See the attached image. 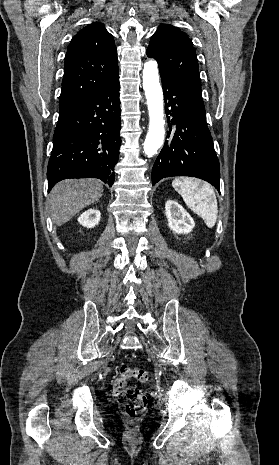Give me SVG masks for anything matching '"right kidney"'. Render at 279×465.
I'll use <instances>...</instances> for the list:
<instances>
[{
	"label": "right kidney",
	"instance_id": "obj_1",
	"mask_svg": "<svg viewBox=\"0 0 279 465\" xmlns=\"http://www.w3.org/2000/svg\"><path fill=\"white\" fill-rule=\"evenodd\" d=\"M101 218V213L98 209H89L83 212L78 218V222L87 228H93L98 225Z\"/></svg>",
	"mask_w": 279,
	"mask_h": 465
}]
</instances>
